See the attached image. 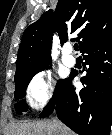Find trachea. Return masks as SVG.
Masks as SVG:
<instances>
[{"label":"trachea","instance_id":"trachea-1","mask_svg":"<svg viewBox=\"0 0 112 135\" xmlns=\"http://www.w3.org/2000/svg\"><path fill=\"white\" fill-rule=\"evenodd\" d=\"M74 50H75V51H78V44H75V45H74Z\"/></svg>","mask_w":112,"mask_h":135}]
</instances>
